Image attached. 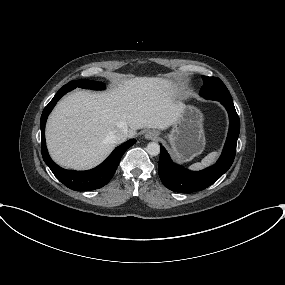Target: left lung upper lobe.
Instances as JSON below:
<instances>
[{
	"label": "left lung upper lobe",
	"mask_w": 285,
	"mask_h": 285,
	"mask_svg": "<svg viewBox=\"0 0 285 285\" xmlns=\"http://www.w3.org/2000/svg\"><path fill=\"white\" fill-rule=\"evenodd\" d=\"M203 86L200 95L206 99L217 100L222 103H233L232 97L224 85L217 77L202 76Z\"/></svg>",
	"instance_id": "left-lung-upper-lobe-1"
}]
</instances>
